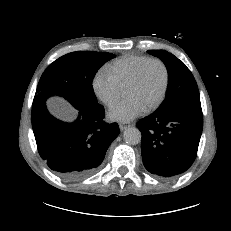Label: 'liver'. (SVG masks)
Masks as SVG:
<instances>
[{"mask_svg": "<svg viewBox=\"0 0 231 231\" xmlns=\"http://www.w3.org/2000/svg\"><path fill=\"white\" fill-rule=\"evenodd\" d=\"M51 107H52L53 111L57 114L64 115L67 113V111L56 102H53L51 104Z\"/></svg>", "mask_w": 231, "mask_h": 231, "instance_id": "1", "label": "liver"}]
</instances>
